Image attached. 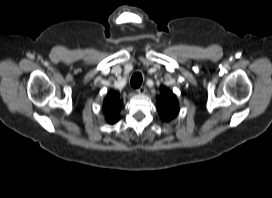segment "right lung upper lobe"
<instances>
[{
    "label": "right lung upper lobe",
    "instance_id": "cb5924a9",
    "mask_svg": "<svg viewBox=\"0 0 272 198\" xmlns=\"http://www.w3.org/2000/svg\"><path fill=\"white\" fill-rule=\"evenodd\" d=\"M119 94L111 91L107 94L103 103V112L106 115V120L108 123L113 124L119 120V114L117 113L122 106L121 101H119Z\"/></svg>",
    "mask_w": 272,
    "mask_h": 198
}]
</instances>
